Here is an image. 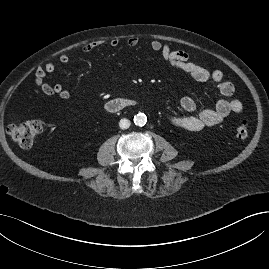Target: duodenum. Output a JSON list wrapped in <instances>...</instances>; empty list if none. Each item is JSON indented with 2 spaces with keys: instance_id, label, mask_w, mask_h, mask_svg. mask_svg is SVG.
I'll list each match as a JSON object with an SVG mask.
<instances>
[{
  "instance_id": "obj_1",
  "label": "duodenum",
  "mask_w": 269,
  "mask_h": 269,
  "mask_svg": "<svg viewBox=\"0 0 269 269\" xmlns=\"http://www.w3.org/2000/svg\"><path fill=\"white\" fill-rule=\"evenodd\" d=\"M135 105H136V102L134 100L127 99V98H118V99H113V100L108 101L105 104V109L109 113H116L123 109L129 108Z\"/></svg>"
}]
</instances>
